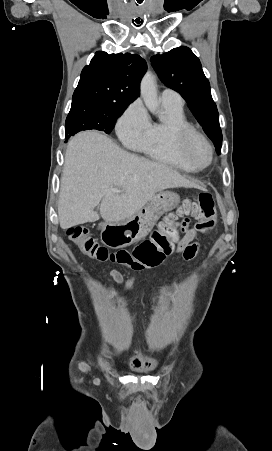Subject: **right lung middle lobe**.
<instances>
[{
	"label": "right lung middle lobe",
	"mask_w": 272,
	"mask_h": 451,
	"mask_svg": "<svg viewBox=\"0 0 272 451\" xmlns=\"http://www.w3.org/2000/svg\"><path fill=\"white\" fill-rule=\"evenodd\" d=\"M127 104L80 102L72 103L66 119V139L82 131L95 129L109 134L117 118L126 109Z\"/></svg>",
	"instance_id": "obj_1"
}]
</instances>
